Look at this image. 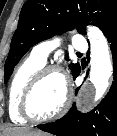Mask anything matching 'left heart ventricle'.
<instances>
[{
	"label": "left heart ventricle",
	"mask_w": 117,
	"mask_h": 136,
	"mask_svg": "<svg viewBox=\"0 0 117 136\" xmlns=\"http://www.w3.org/2000/svg\"><path fill=\"white\" fill-rule=\"evenodd\" d=\"M64 97V78L56 73L49 74L33 91L29 101V110L36 117L50 116L61 107Z\"/></svg>",
	"instance_id": "b2bd125f"
}]
</instances>
